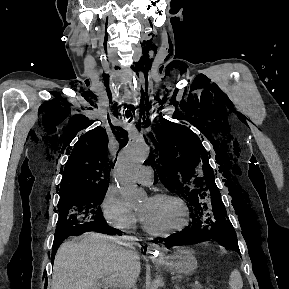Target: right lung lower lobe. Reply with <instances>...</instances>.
<instances>
[{
	"label": "right lung lower lobe",
	"instance_id": "98d812e1",
	"mask_svg": "<svg viewBox=\"0 0 289 289\" xmlns=\"http://www.w3.org/2000/svg\"><path fill=\"white\" fill-rule=\"evenodd\" d=\"M87 231H97V232L104 233V234H109V235H114V234L121 235L119 230H117V229H115L113 227H110L105 222V223H102V224L91 225V226H87V227L72 231L67 236H62V237L56 236L55 239H54V244H53V249H52V256H53L52 257V262L54 261L55 253H56V251L58 249L59 244L65 238H67L69 236L80 235V234L85 233Z\"/></svg>",
	"mask_w": 289,
	"mask_h": 289
}]
</instances>
